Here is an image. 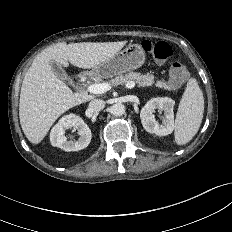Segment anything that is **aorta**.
<instances>
[{
	"label": "aorta",
	"mask_w": 232,
	"mask_h": 232,
	"mask_svg": "<svg viewBox=\"0 0 232 232\" xmlns=\"http://www.w3.org/2000/svg\"><path fill=\"white\" fill-rule=\"evenodd\" d=\"M110 110L114 116H122L125 113V106L121 103H116L111 106Z\"/></svg>",
	"instance_id": "1"
}]
</instances>
